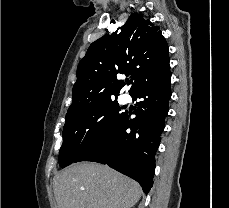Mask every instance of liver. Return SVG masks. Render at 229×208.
Masks as SVG:
<instances>
[{"mask_svg":"<svg viewBox=\"0 0 229 208\" xmlns=\"http://www.w3.org/2000/svg\"><path fill=\"white\" fill-rule=\"evenodd\" d=\"M53 182L58 208H133L142 196L137 182L96 162L72 164Z\"/></svg>","mask_w":229,"mask_h":208,"instance_id":"liver-1","label":"liver"}]
</instances>
